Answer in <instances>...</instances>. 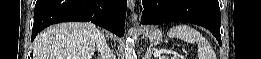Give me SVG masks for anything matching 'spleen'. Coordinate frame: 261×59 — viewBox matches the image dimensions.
Segmentation results:
<instances>
[{
	"instance_id": "1",
	"label": "spleen",
	"mask_w": 261,
	"mask_h": 59,
	"mask_svg": "<svg viewBox=\"0 0 261 59\" xmlns=\"http://www.w3.org/2000/svg\"><path fill=\"white\" fill-rule=\"evenodd\" d=\"M168 37L177 38L187 43H196L199 59H215V54L208 41L202 34L189 25H177L171 28Z\"/></svg>"
}]
</instances>
